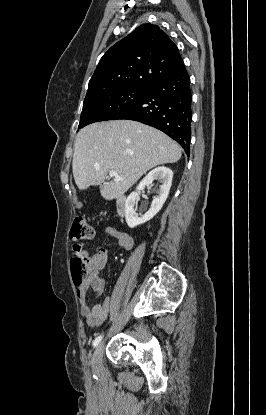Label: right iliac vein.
Returning <instances> with one entry per match:
<instances>
[{"label":"right iliac vein","instance_id":"right-iliac-vein-1","mask_svg":"<svg viewBox=\"0 0 266 415\" xmlns=\"http://www.w3.org/2000/svg\"><path fill=\"white\" fill-rule=\"evenodd\" d=\"M103 347V343L99 344L92 357V367L96 371L100 370L102 366Z\"/></svg>","mask_w":266,"mask_h":415}]
</instances>
